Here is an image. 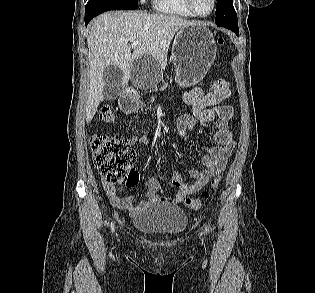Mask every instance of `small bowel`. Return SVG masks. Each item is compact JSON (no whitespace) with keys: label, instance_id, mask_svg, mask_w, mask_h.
<instances>
[{"label":"small bowel","instance_id":"small-bowel-1","mask_svg":"<svg viewBox=\"0 0 315 293\" xmlns=\"http://www.w3.org/2000/svg\"><path fill=\"white\" fill-rule=\"evenodd\" d=\"M229 96L230 94H224L223 92L209 91L203 93L200 87H194L183 93L184 102L192 106V114H183L179 117L177 121L179 137L184 139L186 134L196 125H201L208 130V134L215 143L200 148L203 168L190 169L189 174L194 179L193 183H185L180 174L174 173L172 184L178 190L172 197H166L157 195L161 184L156 176H152L145 185V199L138 204H135L133 196L120 197L114 185L103 183L105 193L111 204L114 207L128 210L133 216L152 203L179 204L188 195L201 190L211 177L221 173L235 148L233 133L229 129V122L234 111L232 107L221 104ZM128 143L131 146L137 143L148 145L149 140L145 135L131 136Z\"/></svg>","mask_w":315,"mask_h":293}]
</instances>
